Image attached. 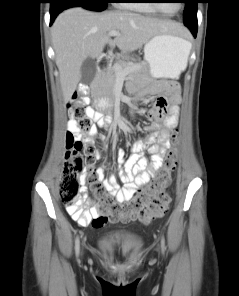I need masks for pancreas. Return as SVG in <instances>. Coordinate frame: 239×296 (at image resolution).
<instances>
[{"label":"pancreas","instance_id":"1","mask_svg":"<svg viewBox=\"0 0 239 296\" xmlns=\"http://www.w3.org/2000/svg\"><path fill=\"white\" fill-rule=\"evenodd\" d=\"M116 66H120L122 69L132 66L136 69L130 72L129 75L136 78L147 77V66L145 62H137L130 55H125L122 59H118L113 66L109 67L97 78L91 91L93 96L100 97L108 103H111L114 98V87L117 81Z\"/></svg>","mask_w":239,"mask_h":296}]
</instances>
